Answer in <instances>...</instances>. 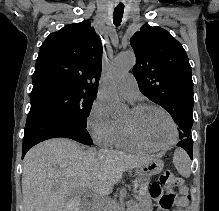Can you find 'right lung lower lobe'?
<instances>
[{"label":"right lung lower lobe","instance_id":"obj_1","mask_svg":"<svg viewBox=\"0 0 219 211\" xmlns=\"http://www.w3.org/2000/svg\"><path fill=\"white\" fill-rule=\"evenodd\" d=\"M57 137L70 138L86 145L93 144L86 125L80 124L52 108L31 107L25 126L22 158L34 145Z\"/></svg>","mask_w":219,"mask_h":211}]
</instances>
